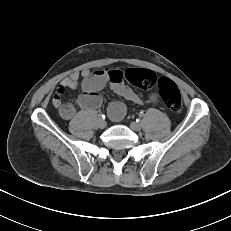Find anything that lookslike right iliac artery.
<instances>
[{
    "mask_svg": "<svg viewBox=\"0 0 231 231\" xmlns=\"http://www.w3.org/2000/svg\"><path fill=\"white\" fill-rule=\"evenodd\" d=\"M98 117H99L100 119H105V115H104V114H98Z\"/></svg>",
    "mask_w": 231,
    "mask_h": 231,
    "instance_id": "82829eb1",
    "label": "right iliac artery"
}]
</instances>
